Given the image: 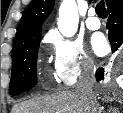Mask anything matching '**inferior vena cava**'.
Returning <instances> with one entry per match:
<instances>
[{
    "instance_id": "inferior-vena-cava-1",
    "label": "inferior vena cava",
    "mask_w": 123,
    "mask_h": 113,
    "mask_svg": "<svg viewBox=\"0 0 123 113\" xmlns=\"http://www.w3.org/2000/svg\"><path fill=\"white\" fill-rule=\"evenodd\" d=\"M95 82V66L88 63L81 75L79 76L76 85V93H78L88 107V113H97L98 103L93 92ZM99 113V112H98Z\"/></svg>"
}]
</instances>
